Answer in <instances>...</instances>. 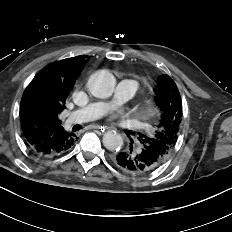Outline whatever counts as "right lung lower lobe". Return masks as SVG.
Here are the masks:
<instances>
[{
    "instance_id": "obj_1",
    "label": "right lung lower lobe",
    "mask_w": 232,
    "mask_h": 232,
    "mask_svg": "<svg viewBox=\"0 0 232 232\" xmlns=\"http://www.w3.org/2000/svg\"><path fill=\"white\" fill-rule=\"evenodd\" d=\"M21 126L26 145L39 156L50 157L62 154L77 140L75 134L66 132L62 127L60 130L49 132L44 139L38 141L36 138L40 136L39 131L30 117L21 118Z\"/></svg>"
}]
</instances>
